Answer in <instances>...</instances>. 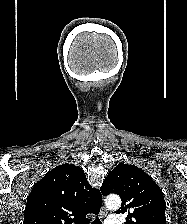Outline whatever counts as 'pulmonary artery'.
Here are the masks:
<instances>
[{"instance_id":"e3ab8cb5","label":"pulmonary artery","mask_w":187,"mask_h":224,"mask_svg":"<svg viewBox=\"0 0 187 224\" xmlns=\"http://www.w3.org/2000/svg\"><path fill=\"white\" fill-rule=\"evenodd\" d=\"M106 224H122V220L119 216H116V217H113V218H110Z\"/></svg>"}]
</instances>
